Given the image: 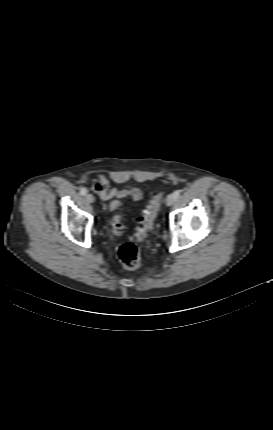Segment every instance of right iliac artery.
<instances>
[{"label": "right iliac artery", "instance_id": "82829eb1", "mask_svg": "<svg viewBox=\"0 0 273 430\" xmlns=\"http://www.w3.org/2000/svg\"><path fill=\"white\" fill-rule=\"evenodd\" d=\"M87 192H88V191H87V189H86V188H81V189H80V194H81V195H86V194H87Z\"/></svg>", "mask_w": 273, "mask_h": 430}]
</instances>
